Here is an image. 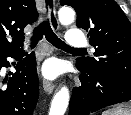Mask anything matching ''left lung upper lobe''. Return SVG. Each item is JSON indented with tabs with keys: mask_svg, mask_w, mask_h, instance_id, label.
<instances>
[{
	"mask_svg": "<svg viewBox=\"0 0 131 115\" xmlns=\"http://www.w3.org/2000/svg\"><path fill=\"white\" fill-rule=\"evenodd\" d=\"M73 7L77 27L88 31L95 58H77L76 64L93 74L131 80V24L114 0H60Z\"/></svg>",
	"mask_w": 131,
	"mask_h": 115,
	"instance_id": "left-lung-upper-lobe-1",
	"label": "left lung upper lobe"
}]
</instances>
